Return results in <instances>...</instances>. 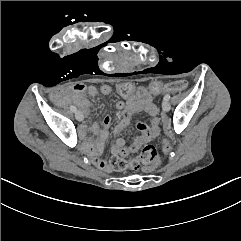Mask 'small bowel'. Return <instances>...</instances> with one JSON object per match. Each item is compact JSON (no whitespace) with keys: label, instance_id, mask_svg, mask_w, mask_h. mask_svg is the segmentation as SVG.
Instances as JSON below:
<instances>
[{"label":"small bowel","instance_id":"c3829d8e","mask_svg":"<svg viewBox=\"0 0 241 241\" xmlns=\"http://www.w3.org/2000/svg\"><path fill=\"white\" fill-rule=\"evenodd\" d=\"M85 93L90 96H96L98 93L110 96L113 93V88L108 84H103L99 88L94 85L76 84L71 88L61 90L56 96L59 98L60 103H67L73 100L84 113H87L90 108V103L82 98V95ZM157 95L159 94L153 95L148 92L147 94L141 95L137 93L133 99H126V103L122 101L116 103V107L123 110V114L119 123L113 128L114 135H119L124 131L129 125L133 113L145 111L150 115V122L149 124L143 121L136 122L135 126L139 131V135L136 136L130 144H126L123 138H117L111 147L112 155L126 157L137 151L144 144L158 137L160 133L159 111L157 106L153 103V98ZM110 125L111 118L106 116L102 120V128H99L98 125H93L92 127L93 132L97 135V141L94 144H89L93 150L91 160L101 169H109L108 162L98 158L97 152L102 149L108 138V129Z\"/></svg>","mask_w":241,"mask_h":241}]
</instances>
